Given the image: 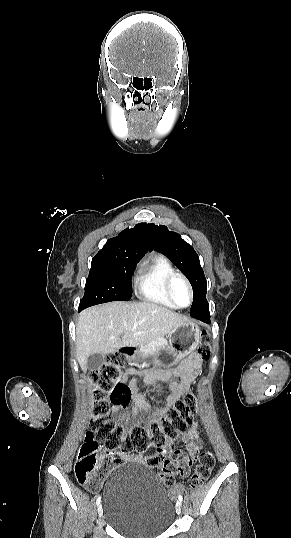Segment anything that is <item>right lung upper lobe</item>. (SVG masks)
Listing matches in <instances>:
<instances>
[{"mask_svg":"<svg viewBox=\"0 0 291 538\" xmlns=\"http://www.w3.org/2000/svg\"><path fill=\"white\" fill-rule=\"evenodd\" d=\"M148 224L140 223L126 228L117 237L111 238L96 256H125L141 259L151 250Z\"/></svg>","mask_w":291,"mask_h":538,"instance_id":"cb5924a9","label":"right lung upper lobe"}]
</instances>
